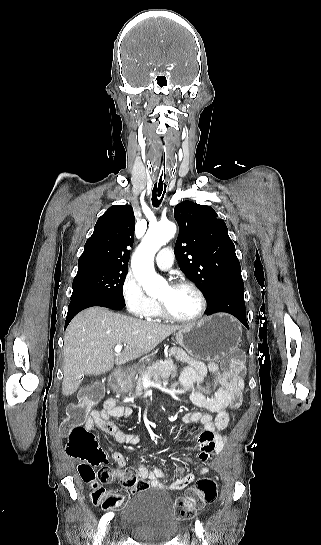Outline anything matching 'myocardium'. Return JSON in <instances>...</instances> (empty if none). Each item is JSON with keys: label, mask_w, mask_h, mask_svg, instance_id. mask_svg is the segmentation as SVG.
Returning <instances> with one entry per match:
<instances>
[{"label": "myocardium", "mask_w": 321, "mask_h": 545, "mask_svg": "<svg viewBox=\"0 0 321 545\" xmlns=\"http://www.w3.org/2000/svg\"><path fill=\"white\" fill-rule=\"evenodd\" d=\"M171 287L173 289L187 288V289H190V290L194 291L197 294L198 298H199L200 306H199L198 312L194 316L180 317V316L175 315L172 312L168 311L164 306L159 304L158 308H159L160 312L162 313V315L164 316V318H166L167 320L173 321V322L183 323V324L196 323V322L200 321L203 318V316L205 315V313L207 311V307H208V301H207V298H206L203 290L198 285H196L195 283H193L191 281H187V280H181V281H178L176 283H173L171 285Z\"/></svg>", "instance_id": "f54148a6"}]
</instances>
